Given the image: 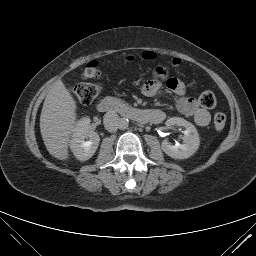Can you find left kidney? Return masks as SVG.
<instances>
[{"label": "left kidney", "instance_id": "1", "mask_svg": "<svg viewBox=\"0 0 256 256\" xmlns=\"http://www.w3.org/2000/svg\"><path fill=\"white\" fill-rule=\"evenodd\" d=\"M167 127L182 126L185 128L183 144L171 145L168 141L162 142V150L173 159H187L199 148L200 139L195 126L180 117H172L166 121Z\"/></svg>", "mask_w": 256, "mask_h": 256}]
</instances>
